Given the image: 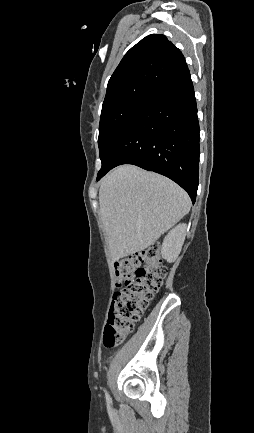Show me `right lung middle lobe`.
Listing matches in <instances>:
<instances>
[{
	"instance_id": "obj_1",
	"label": "right lung middle lobe",
	"mask_w": 254,
	"mask_h": 433,
	"mask_svg": "<svg viewBox=\"0 0 254 433\" xmlns=\"http://www.w3.org/2000/svg\"><path fill=\"white\" fill-rule=\"evenodd\" d=\"M146 102L147 99H127L102 108L98 138L101 169L122 131Z\"/></svg>"
}]
</instances>
